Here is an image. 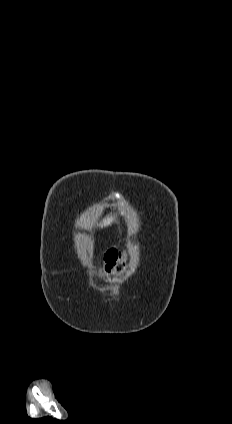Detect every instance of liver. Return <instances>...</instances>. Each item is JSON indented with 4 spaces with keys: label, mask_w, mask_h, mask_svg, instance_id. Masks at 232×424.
<instances>
[{
    "label": "liver",
    "mask_w": 232,
    "mask_h": 424,
    "mask_svg": "<svg viewBox=\"0 0 232 424\" xmlns=\"http://www.w3.org/2000/svg\"><path fill=\"white\" fill-rule=\"evenodd\" d=\"M113 221H114V218L113 217L107 216L106 218L103 219V221L100 224V226L101 227H103V226L104 227L109 226V225H111L113 223Z\"/></svg>",
    "instance_id": "liver-1"
}]
</instances>
